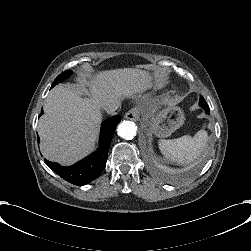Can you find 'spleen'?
I'll return each mask as SVG.
<instances>
[{"label":"spleen","instance_id":"3e777b00","mask_svg":"<svg viewBox=\"0 0 251 251\" xmlns=\"http://www.w3.org/2000/svg\"><path fill=\"white\" fill-rule=\"evenodd\" d=\"M199 130L193 137L182 136L172 140H159V149L163 156L170 161L190 163L198 158L208 142V133L204 129Z\"/></svg>","mask_w":251,"mask_h":251}]
</instances>
